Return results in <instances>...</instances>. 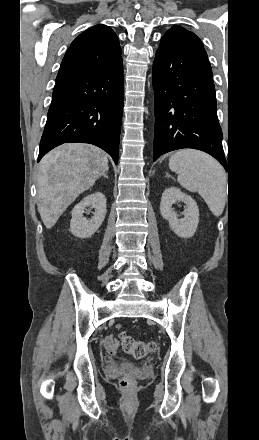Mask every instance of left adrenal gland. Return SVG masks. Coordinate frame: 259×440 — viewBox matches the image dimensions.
I'll return each instance as SVG.
<instances>
[{
    "label": "left adrenal gland",
    "instance_id": "1",
    "mask_svg": "<svg viewBox=\"0 0 259 440\" xmlns=\"http://www.w3.org/2000/svg\"><path fill=\"white\" fill-rule=\"evenodd\" d=\"M166 177H171V175H169L168 173H166Z\"/></svg>",
    "mask_w": 259,
    "mask_h": 440
}]
</instances>
